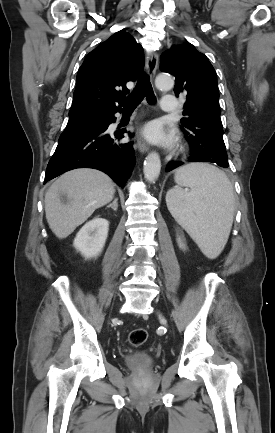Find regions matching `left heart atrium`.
Returning <instances> with one entry per match:
<instances>
[{
	"label": "left heart atrium",
	"instance_id": "obj_1",
	"mask_svg": "<svg viewBox=\"0 0 275 433\" xmlns=\"http://www.w3.org/2000/svg\"><path fill=\"white\" fill-rule=\"evenodd\" d=\"M143 136L152 143L169 145L174 141V133H167L160 123L156 121L149 122L143 128Z\"/></svg>",
	"mask_w": 275,
	"mask_h": 433
}]
</instances>
